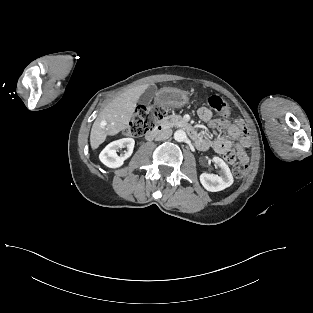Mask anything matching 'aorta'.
<instances>
[{
    "instance_id": "obj_1",
    "label": "aorta",
    "mask_w": 313,
    "mask_h": 313,
    "mask_svg": "<svg viewBox=\"0 0 313 313\" xmlns=\"http://www.w3.org/2000/svg\"><path fill=\"white\" fill-rule=\"evenodd\" d=\"M187 138V135L185 133V131L183 130H177L175 131L174 133V139L177 141V142H184Z\"/></svg>"
}]
</instances>
